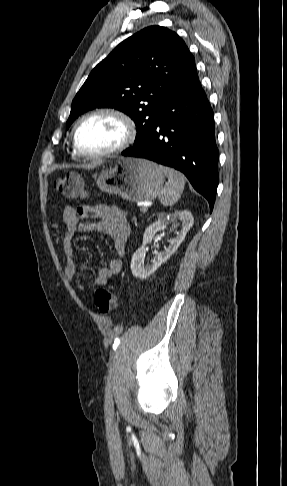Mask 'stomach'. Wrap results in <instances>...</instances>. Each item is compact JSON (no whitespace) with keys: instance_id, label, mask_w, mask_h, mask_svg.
<instances>
[{"instance_id":"1","label":"stomach","mask_w":287,"mask_h":486,"mask_svg":"<svg viewBox=\"0 0 287 486\" xmlns=\"http://www.w3.org/2000/svg\"><path fill=\"white\" fill-rule=\"evenodd\" d=\"M97 186L103 192L140 202L155 198L162 190L164 173L154 162L134 158H118L114 167L99 175Z\"/></svg>"}]
</instances>
